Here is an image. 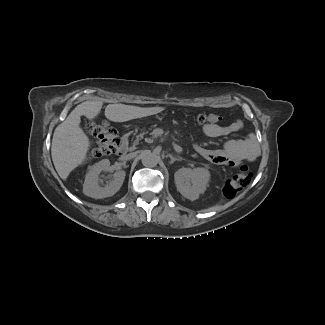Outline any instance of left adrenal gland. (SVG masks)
I'll return each mask as SVG.
<instances>
[{
  "mask_svg": "<svg viewBox=\"0 0 325 325\" xmlns=\"http://www.w3.org/2000/svg\"><path fill=\"white\" fill-rule=\"evenodd\" d=\"M169 158L171 159L170 164H173L175 161H181L183 160L182 157H174L173 155L169 154Z\"/></svg>",
  "mask_w": 325,
  "mask_h": 325,
  "instance_id": "1",
  "label": "left adrenal gland"
}]
</instances>
